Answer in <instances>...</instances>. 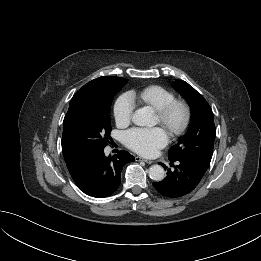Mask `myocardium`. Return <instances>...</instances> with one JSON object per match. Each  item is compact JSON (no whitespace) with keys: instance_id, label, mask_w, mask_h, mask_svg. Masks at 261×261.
<instances>
[{"instance_id":"myocardium-1","label":"myocardium","mask_w":261,"mask_h":261,"mask_svg":"<svg viewBox=\"0 0 261 261\" xmlns=\"http://www.w3.org/2000/svg\"><path fill=\"white\" fill-rule=\"evenodd\" d=\"M159 123L172 136L182 134L189 125L191 109L189 104L180 99H175L164 108L157 111Z\"/></svg>"}]
</instances>
